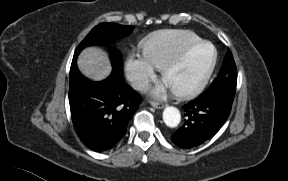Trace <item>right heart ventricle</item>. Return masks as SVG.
<instances>
[{"instance_id":"right-heart-ventricle-1","label":"right heart ventricle","mask_w":288,"mask_h":181,"mask_svg":"<svg viewBox=\"0 0 288 181\" xmlns=\"http://www.w3.org/2000/svg\"><path fill=\"white\" fill-rule=\"evenodd\" d=\"M203 39L190 30H165L151 35L143 43V53L158 68L161 69L184 48Z\"/></svg>"}]
</instances>
